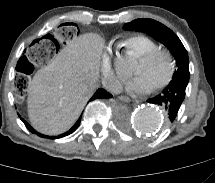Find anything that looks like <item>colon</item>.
I'll return each mask as SVG.
<instances>
[{
  "label": "colon",
  "instance_id": "colon-1",
  "mask_svg": "<svg viewBox=\"0 0 215 183\" xmlns=\"http://www.w3.org/2000/svg\"><path fill=\"white\" fill-rule=\"evenodd\" d=\"M80 37V26L75 22H66L58 25L52 34L34 40L29 45L25 57L18 63L15 89L18 92L26 90L34 66L48 62L61 51L63 44L75 43Z\"/></svg>",
  "mask_w": 215,
  "mask_h": 183
}]
</instances>
